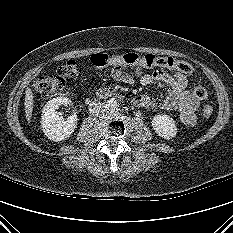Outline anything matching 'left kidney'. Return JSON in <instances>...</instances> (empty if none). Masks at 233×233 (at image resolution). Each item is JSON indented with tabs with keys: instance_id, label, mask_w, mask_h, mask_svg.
<instances>
[{
	"instance_id": "left-kidney-1",
	"label": "left kidney",
	"mask_w": 233,
	"mask_h": 233,
	"mask_svg": "<svg viewBox=\"0 0 233 233\" xmlns=\"http://www.w3.org/2000/svg\"><path fill=\"white\" fill-rule=\"evenodd\" d=\"M151 123L155 132L166 140L172 139L177 134L175 121L168 115H155Z\"/></svg>"
}]
</instances>
